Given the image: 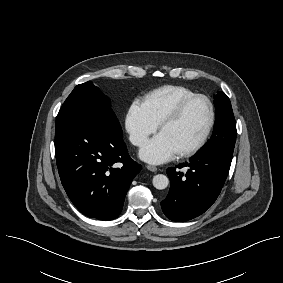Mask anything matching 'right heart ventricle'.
<instances>
[{"instance_id": "right-heart-ventricle-1", "label": "right heart ventricle", "mask_w": 283, "mask_h": 283, "mask_svg": "<svg viewBox=\"0 0 283 283\" xmlns=\"http://www.w3.org/2000/svg\"><path fill=\"white\" fill-rule=\"evenodd\" d=\"M189 88L177 85H167L148 93L143 101L149 116L157 123L169 115L185 98L194 95Z\"/></svg>"}]
</instances>
